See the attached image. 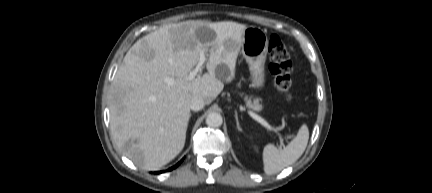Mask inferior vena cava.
Here are the masks:
<instances>
[{
  "label": "inferior vena cava",
  "instance_id": "obj_1",
  "mask_svg": "<svg viewBox=\"0 0 432 193\" xmlns=\"http://www.w3.org/2000/svg\"><path fill=\"white\" fill-rule=\"evenodd\" d=\"M204 105V99L200 95H196L191 99L190 109L193 111H199L204 107Z\"/></svg>",
  "mask_w": 432,
  "mask_h": 193
}]
</instances>
